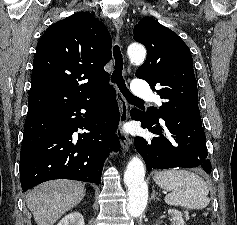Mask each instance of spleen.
Listing matches in <instances>:
<instances>
[{
	"label": "spleen",
	"mask_w": 237,
	"mask_h": 225,
	"mask_svg": "<svg viewBox=\"0 0 237 225\" xmlns=\"http://www.w3.org/2000/svg\"><path fill=\"white\" fill-rule=\"evenodd\" d=\"M154 181L161 188L171 191L165 196L168 205L199 210L208 206L209 189L206 182L188 170H164L156 172Z\"/></svg>",
	"instance_id": "spleen-1"
}]
</instances>
